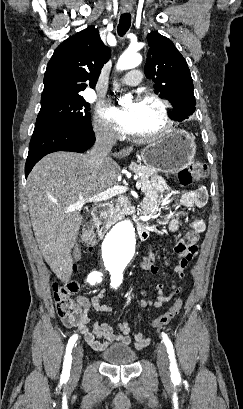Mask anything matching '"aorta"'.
<instances>
[{"mask_svg": "<svg viewBox=\"0 0 243 409\" xmlns=\"http://www.w3.org/2000/svg\"><path fill=\"white\" fill-rule=\"evenodd\" d=\"M142 57L133 51H125L119 58L117 70H127L137 67ZM135 245V228L130 220L116 224L106 235L102 249L109 260L130 257Z\"/></svg>", "mask_w": 243, "mask_h": 409, "instance_id": "1", "label": "aorta"}]
</instances>
